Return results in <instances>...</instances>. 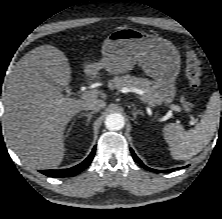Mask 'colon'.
<instances>
[{
  "label": "colon",
  "mask_w": 222,
  "mask_h": 219,
  "mask_svg": "<svg viewBox=\"0 0 222 219\" xmlns=\"http://www.w3.org/2000/svg\"><path fill=\"white\" fill-rule=\"evenodd\" d=\"M185 75L191 88L197 90L201 87L202 73L200 61L196 52L189 45L186 46Z\"/></svg>",
  "instance_id": "1"
}]
</instances>
